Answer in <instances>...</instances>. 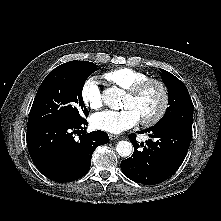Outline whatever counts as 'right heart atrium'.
Wrapping results in <instances>:
<instances>
[{
    "instance_id": "1",
    "label": "right heart atrium",
    "mask_w": 221,
    "mask_h": 221,
    "mask_svg": "<svg viewBox=\"0 0 221 221\" xmlns=\"http://www.w3.org/2000/svg\"><path fill=\"white\" fill-rule=\"evenodd\" d=\"M81 99L92 110H97L103 105V95L96 77H89L82 85Z\"/></svg>"
}]
</instances>
